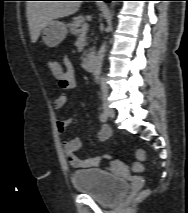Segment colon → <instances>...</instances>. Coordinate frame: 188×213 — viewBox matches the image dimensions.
Returning <instances> with one entry per match:
<instances>
[{
  "instance_id": "5ec220e1",
  "label": "colon",
  "mask_w": 188,
  "mask_h": 213,
  "mask_svg": "<svg viewBox=\"0 0 188 213\" xmlns=\"http://www.w3.org/2000/svg\"><path fill=\"white\" fill-rule=\"evenodd\" d=\"M48 66L52 73L58 77L62 74V68H61V63L58 59H51L48 62ZM136 157H137V162L133 164V171L134 172H141L143 171V164L142 162L145 159V151L143 149H137L136 151ZM145 192L142 194L144 195Z\"/></svg>"
}]
</instances>
